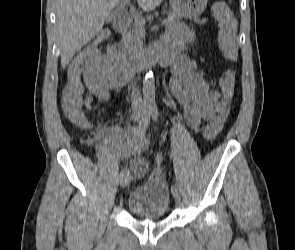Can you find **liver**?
<instances>
[{
  "mask_svg": "<svg viewBox=\"0 0 295 250\" xmlns=\"http://www.w3.org/2000/svg\"><path fill=\"white\" fill-rule=\"evenodd\" d=\"M123 0H56V29L61 66L102 30L111 10ZM162 0H137L143 11H152Z\"/></svg>",
  "mask_w": 295,
  "mask_h": 250,
  "instance_id": "obj_1",
  "label": "liver"
}]
</instances>
